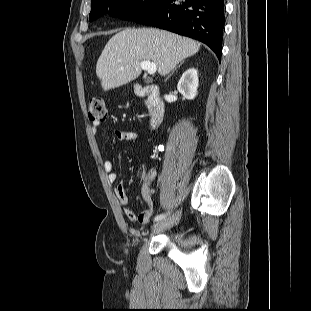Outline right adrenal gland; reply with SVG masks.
Here are the masks:
<instances>
[{"label": "right adrenal gland", "instance_id": "1", "mask_svg": "<svg viewBox=\"0 0 311 311\" xmlns=\"http://www.w3.org/2000/svg\"><path fill=\"white\" fill-rule=\"evenodd\" d=\"M184 61H182L171 73L170 75H168V77L165 79V81H167L169 79V77L174 73V71L179 68L182 64H183Z\"/></svg>", "mask_w": 311, "mask_h": 311}]
</instances>
